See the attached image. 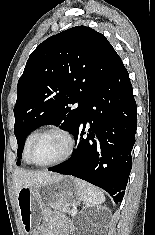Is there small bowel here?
Masks as SVG:
<instances>
[{
  "label": "small bowel",
  "instance_id": "obj_1",
  "mask_svg": "<svg viewBox=\"0 0 155 235\" xmlns=\"http://www.w3.org/2000/svg\"><path fill=\"white\" fill-rule=\"evenodd\" d=\"M41 231L43 235H69L66 222L62 219L47 220Z\"/></svg>",
  "mask_w": 155,
  "mask_h": 235
}]
</instances>
